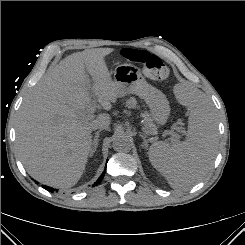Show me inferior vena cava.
<instances>
[{
  "instance_id": "obj_1",
  "label": "inferior vena cava",
  "mask_w": 245,
  "mask_h": 245,
  "mask_svg": "<svg viewBox=\"0 0 245 245\" xmlns=\"http://www.w3.org/2000/svg\"><path fill=\"white\" fill-rule=\"evenodd\" d=\"M93 129L94 130H96V129H105V130H108L109 129V126L104 125V124H101V123H98V124H94Z\"/></svg>"
}]
</instances>
